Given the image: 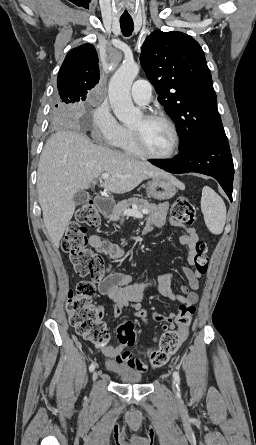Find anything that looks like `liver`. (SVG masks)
Instances as JSON below:
<instances>
[{
	"label": "liver",
	"mask_w": 256,
	"mask_h": 445,
	"mask_svg": "<svg viewBox=\"0 0 256 445\" xmlns=\"http://www.w3.org/2000/svg\"><path fill=\"white\" fill-rule=\"evenodd\" d=\"M103 173L110 177L101 186L116 194L130 192L145 179L170 176L147 162L95 145L76 131L55 132L44 146L37 173L43 221L55 248L74 214L75 193L95 185ZM175 182L177 187H183Z\"/></svg>",
	"instance_id": "1"
}]
</instances>
